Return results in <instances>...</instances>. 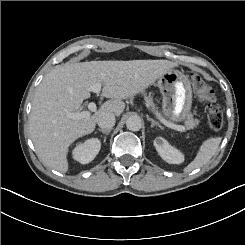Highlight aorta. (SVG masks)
<instances>
[{
    "mask_svg": "<svg viewBox=\"0 0 245 245\" xmlns=\"http://www.w3.org/2000/svg\"><path fill=\"white\" fill-rule=\"evenodd\" d=\"M126 127L130 131H139L142 127V121L139 116H130L126 120Z\"/></svg>",
    "mask_w": 245,
    "mask_h": 245,
    "instance_id": "1",
    "label": "aorta"
}]
</instances>
